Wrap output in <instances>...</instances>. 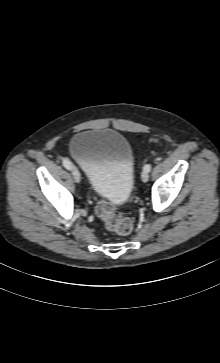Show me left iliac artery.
Wrapping results in <instances>:
<instances>
[{
    "label": "left iliac artery",
    "mask_w": 220,
    "mask_h": 363,
    "mask_svg": "<svg viewBox=\"0 0 220 363\" xmlns=\"http://www.w3.org/2000/svg\"><path fill=\"white\" fill-rule=\"evenodd\" d=\"M143 169H144L145 171H147V172H150V170H151V164H146V165L143 167Z\"/></svg>",
    "instance_id": "left-iliac-artery-1"
}]
</instances>
